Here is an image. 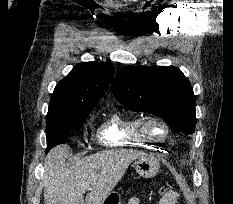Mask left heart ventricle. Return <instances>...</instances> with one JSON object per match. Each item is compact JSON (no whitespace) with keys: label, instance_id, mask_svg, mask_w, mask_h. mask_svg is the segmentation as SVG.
Here are the masks:
<instances>
[{"label":"left heart ventricle","instance_id":"1","mask_svg":"<svg viewBox=\"0 0 233 204\" xmlns=\"http://www.w3.org/2000/svg\"><path fill=\"white\" fill-rule=\"evenodd\" d=\"M149 129L155 135H161L163 132V129L159 125L155 124L150 125Z\"/></svg>","mask_w":233,"mask_h":204}]
</instances>
